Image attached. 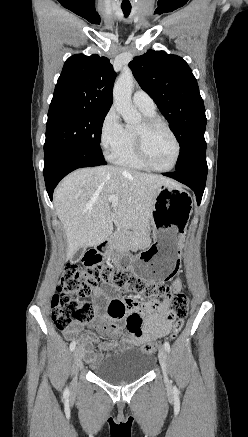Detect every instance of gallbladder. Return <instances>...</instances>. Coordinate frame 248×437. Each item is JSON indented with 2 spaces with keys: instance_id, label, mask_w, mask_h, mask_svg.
<instances>
[{
  "instance_id": "bac80fb5",
  "label": "gallbladder",
  "mask_w": 248,
  "mask_h": 437,
  "mask_svg": "<svg viewBox=\"0 0 248 437\" xmlns=\"http://www.w3.org/2000/svg\"><path fill=\"white\" fill-rule=\"evenodd\" d=\"M84 251H85V248H80L73 256H72V260L73 261H78L81 257H82V255H83V253H84Z\"/></svg>"
}]
</instances>
